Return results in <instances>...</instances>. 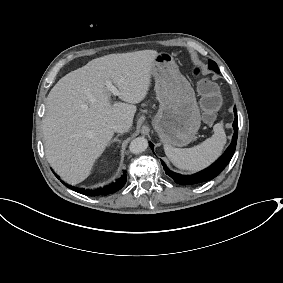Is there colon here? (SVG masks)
<instances>
[{"label": "colon", "mask_w": 283, "mask_h": 283, "mask_svg": "<svg viewBox=\"0 0 283 283\" xmlns=\"http://www.w3.org/2000/svg\"><path fill=\"white\" fill-rule=\"evenodd\" d=\"M195 76L200 75V68L193 70ZM201 107L205 119L212 120L222 106V95L220 89L213 81L202 78L198 84Z\"/></svg>", "instance_id": "1"}]
</instances>
